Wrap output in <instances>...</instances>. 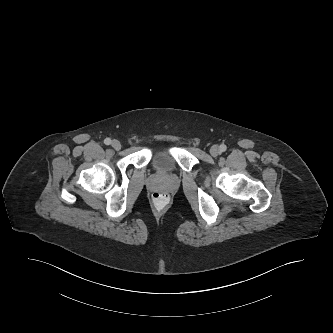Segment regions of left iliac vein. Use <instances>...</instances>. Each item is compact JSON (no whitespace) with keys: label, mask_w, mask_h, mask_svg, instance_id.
Returning a JSON list of instances; mask_svg holds the SVG:
<instances>
[{"label":"left iliac vein","mask_w":333,"mask_h":333,"mask_svg":"<svg viewBox=\"0 0 333 333\" xmlns=\"http://www.w3.org/2000/svg\"><path fill=\"white\" fill-rule=\"evenodd\" d=\"M210 154L212 156H218L220 154V149L217 145H213L211 148H210Z\"/></svg>","instance_id":"obj_1"}]
</instances>
